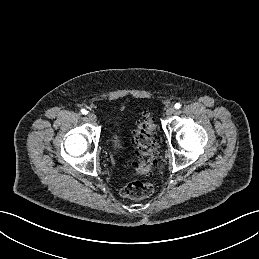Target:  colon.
Here are the masks:
<instances>
[{
    "instance_id": "5ec220e1",
    "label": "colon",
    "mask_w": 259,
    "mask_h": 259,
    "mask_svg": "<svg viewBox=\"0 0 259 259\" xmlns=\"http://www.w3.org/2000/svg\"><path fill=\"white\" fill-rule=\"evenodd\" d=\"M156 125L150 114L145 113L134 132V146L139 158L135 171L149 175L156 162ZM154 186L150 181H132L121 189L124 198L139 200L152 194Z\"/></svg>"
}]
</instances>
